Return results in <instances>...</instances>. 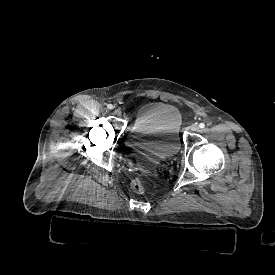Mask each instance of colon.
Returning <instances> with one entry per match:
<instances>
[{"instance_id": "colon-1", "label": "colon", "mask_w": 275, "mask_h": 275, "mask_svg": "<svg viewBox=\"0 0 275 275\" xmlns=\"http://www.w3.org/2000/svg\"><path fill=\"white\" fill-rule=\"evenodd\" d=\"M130 189L135 194H143L145 192V186L140 179H133L130 183Z\"/></svg>"}]
</instances>
